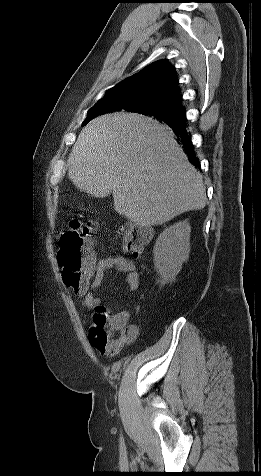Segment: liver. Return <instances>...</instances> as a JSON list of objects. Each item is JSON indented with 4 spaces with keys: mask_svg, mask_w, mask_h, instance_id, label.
<instances>
[{
    "mask_svg": "<svg viewBox=\"0 0 261 476\" xmlns=\"http://www.w3.org/2000/svg\"><path fill=\"white\" fill-rule=\"evenodd\" d=\"M68 164L78 189L96 197L112 193L115 210L138 226L162 225L206 205L203 176L173 132L143 115L93 119L79 134Z\"/></svg>",
    "mask_w": 261,
    "mask_h": 476,
    "instance_id": "1",
    "label": "liver"
}]
</instances>
